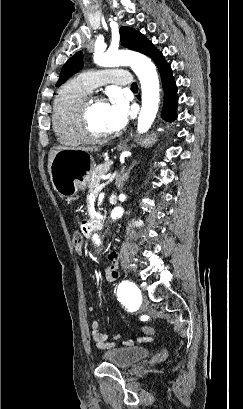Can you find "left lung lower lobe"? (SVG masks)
Masks as SVG:
<instances>
[{
    "label": "left lung lower lobe",
    "mask_w": 243,
    "mask_h": 409,
    "mask_svg": "<svg viewBox=\"0 0 243 409\" xmlns=\"http://www.w3.org/2000/svg\"><path fill=\"white\" fill-rule=\"evenodd\" d=\"M158 68L162 77V84L164 89V105L162 109V117L166 121L173 122L177 117V86L172 75L171 67L168 63H164Z\"/></svg>",
    "instance_id": "1"
}]
</instances>
